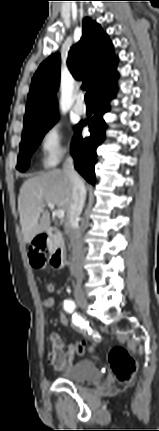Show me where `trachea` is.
<instances>
[{"mask_svg":"<svg viewBox=\"0 0 159 431\" xmlns=\"http://www.w3.org/2000/svg\"><path fill=\"white\" fill-rule=\"evenodd\" d=\"M85 101L87 105L93 104V93L92 91H88L85 95Z\"/></svg>","mask_w":159,"mask_h":431,"instance_id":"1","label":"trachea"}]
</instances>
